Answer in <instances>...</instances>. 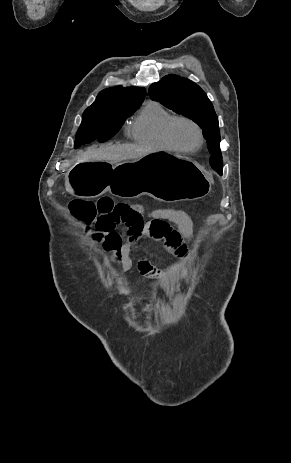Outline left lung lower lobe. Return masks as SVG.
<instances>
[{
  "instance_id": "left-lung-lower-lobe-1",
  "label": "left lung lower lobe",
  "mask_w": 291,
  "mask_h": 463,
  "mask_svg": "<svg viewBox=\"0 0 291 463\" xmlns=\"http://www.w3.org/2000/svg\"><path fill=\"white\" fill-rule=\"evenodd\" d=\"M219 174L221 175V174H222V171H220Z\"/></svg>"
}]
</instances>
